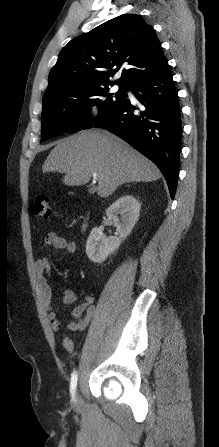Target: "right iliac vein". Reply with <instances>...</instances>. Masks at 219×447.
<instances>
[{
	"instance_id": "obj_1",
	"label": "right iliac vein",
	"mask_w": 219,
	"mask_h": 447,
	"mask_svg": "<svg viewBox=\"0 0 219 447\" xmlns=\"http://www.w3.org/2000/svg\"><path fill=\"white\" fill-rule=\"evenodd\" d=\"M74 401H75V406L76 407H79L81 405V403H82L81 396L79 394V390H77L76 393H75V400Z\"/></svg>"
}]
</instances>
